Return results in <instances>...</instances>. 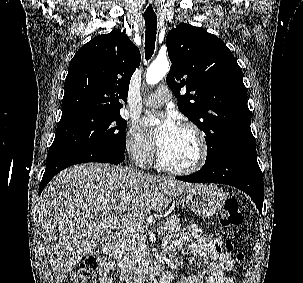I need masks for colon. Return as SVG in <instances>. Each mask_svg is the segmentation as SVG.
<instances>
[{
    "mask_svg": "<svg viewBox=\"0 0 303 283\" xmlns=\"http://www.w3.org/2000/svg\"><path fill=\"white\" fill-rule=\"evenodd\" d=\"M220 223L224 228H240L243 223V217L240 212L239 203L236 199H227L224 202L220 213ZM240 238L239 232L233 233L232 240L227 242L232 247ZM243 261V255H237V262ZM98 269V260L95 256H89L83 260L74 272L68 276L63 283H93Z\"/></svg>",
    "mask_w": 303,
    "mask_h": 283,
    "instance_id": "1",
    "label": "colon"
}]
</instances>
